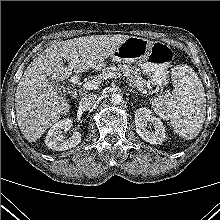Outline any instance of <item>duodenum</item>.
I'll list each match as a JSON object with an SVG mask.
<instances>
[{"mask_svg": "<svg viewBox=\"0 0 220 220\" xmlns=\"http://www.w3.org/2000/svg\"><path fill=\"white\" fill-rule=\"evenodd\" d=\"M77 81H78V79H77L76 77H73V78H72V83H73V84H76ZM74 95H76V92H74Z\"/></svg>", "mask_w": 220, "mask_h": 220, "instance_id": "duodenum-1", "label": "duodenum"}]
</instances>
